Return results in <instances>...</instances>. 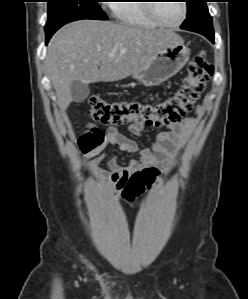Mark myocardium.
Listing matches in <instances>:
<instances>
[{"label":"myocardium","instance_id":"f54148a6","mask_svg":"<svg viewBox=\"0 0 248 299\" xmlns=\"http://www.w3.org/2000/svg\"><path fill=\"white\" fill-rule=\"evenodd\" d=\"M152 2H156V1H152ZM181 3H182L183 14H182L180 21L175 24L166 23L165 21H163L160 18V16L158 15V13L156 11V7H157L158 3H149L147 5V11H148L150 17L160 26H163L166 28H177L185 22L187 15H188V6H187L186 1L181 0Z\"/></svg>","mask_w":248,"mask_h":299}]
</instances>
